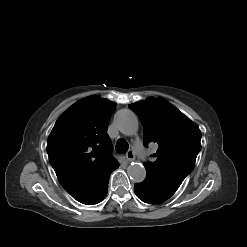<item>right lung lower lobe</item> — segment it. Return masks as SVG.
<instances>
[{"mask_svg": "<svg viewBox=\"0 0 247 247\" xmlns=\"http://www.w3.org/2000/svg\"><path fill=\"white\" fill-rule=\"evenodd\" d=\"M118 166L119 164L114 169L106 173L102 178L96 181L84 193H82L80 196L76 197L75 199L86 205H93L102 201L107 194L110 174L112 171L118 168Z\"/></svg>", "mask_w": 247, "mask_h": 247, "instance_id": "right-lung-lower-lobe-1", "label": "right lung lower lobe"}]
</instances>
